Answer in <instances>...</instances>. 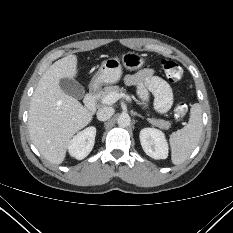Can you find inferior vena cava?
<instances>
[{
	"label": "inferior vena cava",
	"instance_id": "inferior-vena-cava-1",
	"mask_svg": "<svg viewBox=\"0 0 233 233\" xmlns=\"http://www.w3.org/2000/svg\"><path fill=\"white\" fill-rule=\"evenodd\" d=\"M114 114L112 107H103L97 111V118L100 121H107Z\"/></svg>",
	"mask_w": 233,
	"mask_h": 233
}]
</instances>
